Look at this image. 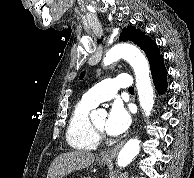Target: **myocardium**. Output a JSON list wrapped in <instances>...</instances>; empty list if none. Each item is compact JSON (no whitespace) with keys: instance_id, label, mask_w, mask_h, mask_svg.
Returning a JSON list of instances; mask_svg holds the SVG:
<instances>
[{"instance_id":"1","label":"myocardium","mask_w":194,"mask_h":178,"mask_svg":"<svg viewBox=\"0 0 194 178\" xmlns=\"http://www.w3.org/2000/svg\"><path fill=\"white\" fill-rule=\"evenodd\" d=\"M91 125H92V128H93L94 132L98 136V138H102L103 137V130L102 129H99L98 127H96L94 125V123H91Z\"/></svg>"}]
</instances>
